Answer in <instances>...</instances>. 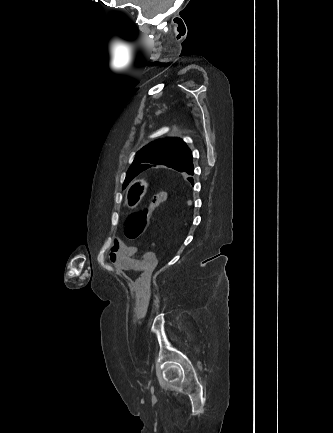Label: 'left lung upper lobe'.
Returning a JSON list of instances; mask_svg holds the SVG:
<instances>
[{"label":"left lung upper lobe","instance_id":"1","mask_svg":"<svg viewBox=\"0 0 333 433\" xmlns=\"http://www.w3.org/2000/svg\"><path fill=\"white\" fill-rule=\"evenodd\" d=\"M145 165H165L183 172L193 165L192 153L181 139H161L148 144L136 154L126 174L123 188L143 171Z\"/></svg>","mask_w":333,"mask_h":433}]
</instances>
